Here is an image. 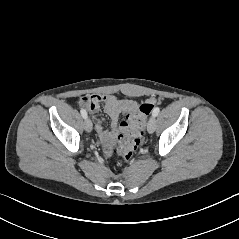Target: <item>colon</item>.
<instances>
[{"label":"colon","instance_id":"1","mask_svg":"<svg viewBox=\"0 0 239 239\" xmlns=\"http://www.w3.org/2000/svg\"><path fill=\"white\" fill-rule=\"evenodd\" d=\"M81 104L88 107L89 99L84 97ZM153 108L151 102L140 105L138 110L130 115L127 120L121 124V134L118 136V141L112 148V152L123 158L130 159L141 143L145 120L147 115Z\"/></svg>","mask_w":239,"mask_h":239}]
</instances>
